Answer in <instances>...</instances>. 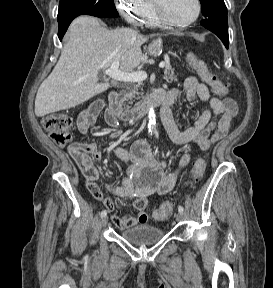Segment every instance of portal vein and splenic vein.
<instances>
[{
  "mask_svg": "<svg viewBox=\"0 0 273 288\" xmlns=\"http://www.w3.org/2000/svg\"><path fill=\"white\" fill-rule=\"evenodd\" d=\"M160 68L165 67V63L161 62L159 64ZM105 75L111 77L117 81L123 82H140L147 78V73L144 71H136V72H122L118 69V62L115 61L112 66L105 70Z\"/></svg>",
  "mask_w": 273,
  "mask_h": 288,
  "instance_id": "portal-vein-and-splenic-vein-1",
  "label": "portal vein and splenic vein"
}]
</instances>
